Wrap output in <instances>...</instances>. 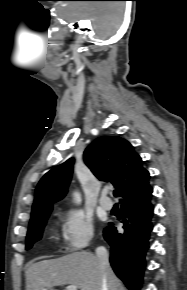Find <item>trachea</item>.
I'll list each match as a JSON object with an SVG mask.
<instances>
[{
	"label": "trachea",
	"instance_id": "1",
	"mask_svg": "<svg viewBox=\"0 0 187 290\" xmlns=\"http://www.w3.org/2000/svg\"><path fill=\"white\" fill-rule=\"evenodd\" d=\"M114 196L117 197L118 196V192L114 191Z\"/></svg>",
	"mask_w": 187,
	"mask_h": 290
}]
</instances>
